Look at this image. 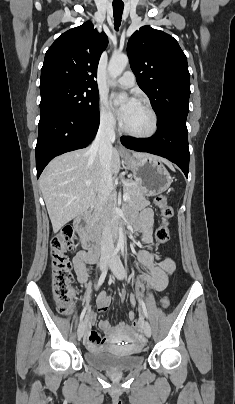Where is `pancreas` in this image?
I'll return each instance as SVG.
<instances>
[{
  "instance_id": "pancreas-1",
  "label": "pancreas",
  "mask_w": 235,
  "mask_h": 404,
  "mask_svg": "<svg viewBox=\"0 0 235 404\" xmlns=\"http://www.w3.org/2000/svg\"><path fill=\"white\" fill-rule=\"evenodd\" d=\"M123 191L128 193L130 198L128 203L133 207H141L147 205L149 202L145 198V191L142 185L133 180H125L123 182ZM117 201L116 198H111L99 211L98 217L102 221L114 219L117 217L116 213Z\"/></svg>"
}]
</instances>
